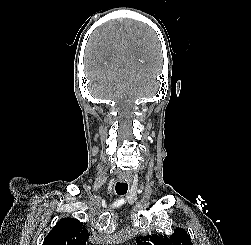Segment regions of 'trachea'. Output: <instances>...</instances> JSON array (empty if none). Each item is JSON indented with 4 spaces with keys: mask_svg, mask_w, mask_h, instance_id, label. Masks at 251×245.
Here are the masks:
<instances>
[{
    "mask_svg": "<svg viewBox=\"0 0 251 245\" xmlns=\"http://www.w3.org/2000/svg\"><path fill=\"white\" fill-rule=\"evenodd\" d=\"M115 190L118 195H124L128 190V184L123 182H117Z\"/></svg>",
    "mask_w": 251,
    "mask_h": 245,
    "instance_id": "obj_1",
    "label": "trachea"
}]
</instances>
